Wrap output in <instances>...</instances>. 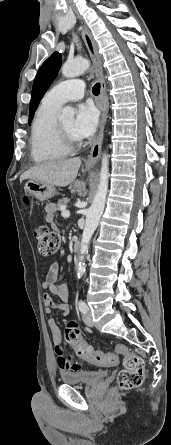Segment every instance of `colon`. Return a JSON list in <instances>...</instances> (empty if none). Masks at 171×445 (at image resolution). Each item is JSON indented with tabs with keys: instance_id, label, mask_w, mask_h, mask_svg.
<instances>
[{
	"instance_id": "colon-1",
	"label": "colon",
	"mask_w": 171,
	"mask_h": 445,
	"mask_svg": "<svg viewBox=\"0 0 171 445\" xmlns=\"http://www.w3.org/2000/svg\"><path fill=\"white\" fill-rule=\"evenodd\" d=\"M39 253L48 257L56 253L60 244L58 233L45 225H38L33 230ZM65 341L84 360L96 365H112L116 362L113 354H104L84 342L76 321L67 323L64 333ZM117 352L123 354L124 368L119 372L116 387L120 390L131 389L142 384L144 378V361L138 355L129 352L125 347L117 346Z\"/></svg>"
}]
</instances>
